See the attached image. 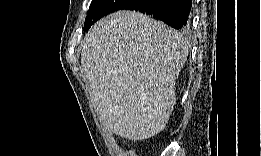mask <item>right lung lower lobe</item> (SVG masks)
Segmentation results:
<instances>
[{"label":"right lung lower lobe","instance_id":"right-lung-lower-lobe-1","mask_svg":"<svg viewBox=\"0 0 261 156\" xmlns=\"http://www.w3.org/2000/svg\"><path fill=\"white\" fill-rule=\"evenodd\" d=\"M192 0H130L121 10H136L164 21L175 29H186Z\"/></svg>","mask_w":261,"mask_h":156}]
</instances>
